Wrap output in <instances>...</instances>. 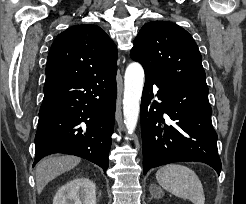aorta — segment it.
<instances>
[{
    "instance_id": "762f6f07",
    "label": "aorta",
    "mask_w": 246,
    "mask_h": 204,
    "mask_svg": "<svg viewBox=\"0 0 246 204\" xmlns=\"http://www.w3.org/2000/svg\"><path fill=\"white\" fill-rule=\"evenodd\" d=\"M144 86V70L137 62L130 63L124 76L123 115L124 123L129 134H132L137 126L140 99Z\"/></svg>"
}]
</instances>
